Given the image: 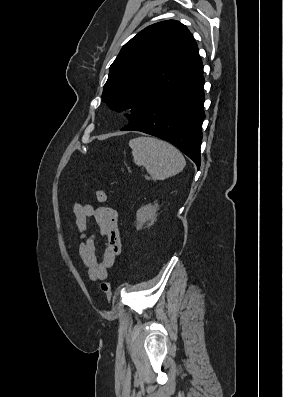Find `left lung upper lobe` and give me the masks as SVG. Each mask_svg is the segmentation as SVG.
<instances>
[{
    "mask_svg": "<svg viewBox=\"0 0 283 397\" xmlns=\"http://www.w3.org/2000/svg\"><path fill=\"white\" fill-rule=\"evenodd\" d=\"M203 68L195 39L175 20L150 25L121 49L102 99L112 110L132 108L129 123L161 96Z\"/></svg>",
    "mask_w": 283,
    "mask_h": 397,
    "instance_id": "obj_1",
    "label": "left lung upper lobe"
}]
</instances>
